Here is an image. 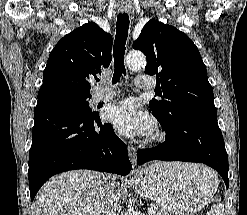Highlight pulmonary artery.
Returning <instances> with one entry per match:
<instances>
[{"label":"pulmonary artery","mask_w":247,"mask_h":215,"mask_svg":"<svg viewBox=\"0 0 247 215\" xmlns=\"http://www.w3.org/2000/svg\"><path fill=\"white\" fill-rule=\"evenodd\" d=\"M136 85L141 89H150L154 85V79L151 76L141 75L136 78ZM119 93L118 90L106 86L101 83L99 89L94 93L93 100L95 102L105 101L113 98Z\"/></svg>","instance_id":"e3ab8cb5"}]
</instances>
